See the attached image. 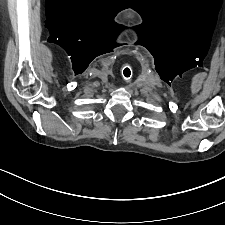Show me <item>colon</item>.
Instances as JSON below:
<instances>
[{
	"instance_id": "colon-1",
	"label": "colon",
	"mask_w": 225,
	"mask_h": 225,
	"mask_svg": "<svg viewBox=\"0 0 225 225\" xmlns=\"http://www.w3.org/2000/svg\"><path fill=\"white\" fill-rule=\"evenodd\" d=\"M125 72H126L127 77H130V75H131V70H130V67H129V66H126V67H125Z\"/></svg>"
}]
</instances>
